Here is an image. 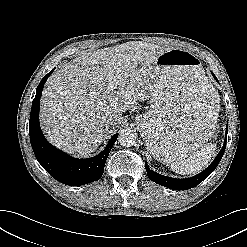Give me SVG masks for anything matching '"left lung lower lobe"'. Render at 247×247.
Instances as JSON below:
<instances>
[{
    "mask_svg": "<svg viewBox=\"0 0 247 247\" xmlns=\"http://www.w3.org/2000/svg\"><path fill=\"white\" fill-rule=\"evenodd\" d=\"M213 76L217 80L214 74ZM226 140H227V132H226V138L224 141V145L222 149L220 150L219 154L216 156L215 160L212 162V164L208 168H206L203 172L199 173L198 175L194 177H190L186 179H176V178L166 177V176H163L161 174H158L150 170L146 163L147 175L151 181L157 184L163 185L167 188L173 189V190H187V189L193 188L197 186L199 183H201L203 180H205L215 170V168L219 164L224 154L225 147H226Z\"/></svg>",
    "mask_w": 247,
    "mask_h": 247,
    "instance_id": "obj_1",
    "label": "left lung lower lobe"
}]
</instances>
